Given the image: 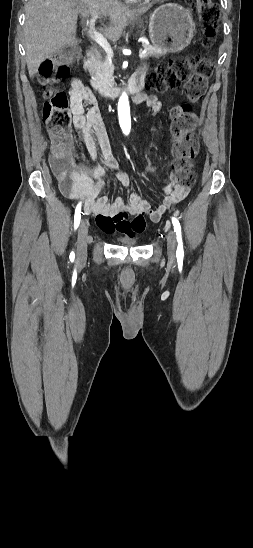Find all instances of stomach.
Instances as JSON below:
<instances>
[{
  "instance_id": "1",
  "label": "stomach",
  "mask_w": 253,
  "mask_h": 548,
  "mask_svg": "<svg viewBox=\"0 0 253 548\" xmlns=\"http://www.w3.org/2000/svg\"><path fill=\"white\" fill-rule=\"evenodd\" d=\"M194 30L195 23L191 14L176 3L159 6L149 19L151 42L168 52H178L187 47Z\"/></svg>"
}]
</instances>
